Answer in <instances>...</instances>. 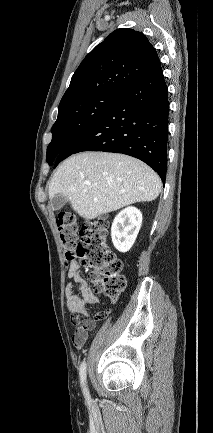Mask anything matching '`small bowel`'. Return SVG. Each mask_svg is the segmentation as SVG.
I'll return each instance as SVG.
<instances>
[{
	"label": "small bowel",
	"mask_w": 213,
	"mask_h": 433,
	"mask_svg": "<svg viewBox=\"0 0 213 433\" xmlns=\"http://www.w3.org/2000/svg\"><path fill=\"white\" fill-rule=\"evenodd\" d=\"M67 275L70 279V282L67 283L65 288L67 308L72 315L87 316V307L97 304L99 299L82 278L81 271L76 263H72L69 266ZM94 327V321H83V327L76 330L73 335V343L77 348L83 347L88 338L89 332L93 330ZM78 337H80L79 341Z\"/></svg>",
	"instance_id": "obj_1"
}]
</instances>
